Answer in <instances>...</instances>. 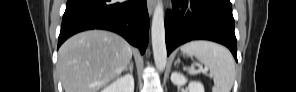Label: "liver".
Listing matches in <instances>:
<instances>
[{"label": "liver", "mask_w": 296, "mask_h": 92, "mask_svg": "<svg viewBox=\"0 0 296 92\" xmlns=\"http://www.w3.org/2000/svg\"><path fill=\"white\" fill-rule=\"evenodd\" d=\"M131 58V47L124 38L90 30L63 43L57 69L65 92H98L125 70Z\"/></svg>", "instance_id": "liver-1"}]
</instances>
